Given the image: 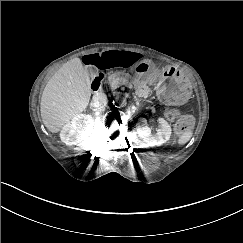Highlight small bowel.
<instances>
[{
    "label": "small bowel",
    "instance_id": "1",
    "mask_svg": "<svg viewBox=\"0 0 243 243\" xmlns=\"http://www.w3.org/2000/svg\"><path fill=\"white\" fill-rule=\"evenodd\" d=\"M141 59L140 55L126 50H107L87 54L83 62L94 68H129Z\"/></svg>",
    "mask_w": 243,
    "mask_h": 243
}]
</instances>
